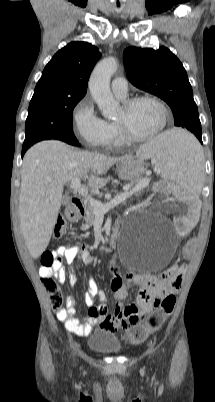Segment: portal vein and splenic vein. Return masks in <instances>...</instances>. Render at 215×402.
I'll return each mask as SVG.
<instances>
[{
    "mask_svg": "<svg viewBox=\"0 0 215 402\" xmlns=\"http://www.w3.org/2000/svg\"><path fill=\"white\" fill-rule=\"evenodd\" d=\"M149 180L145 179L144 181L137 184L136 189H142L148 184ZM71 189L78 192L81 196L89 199V204L93 208L96 216H103L106 214L110 209L114 208L116 205L125 201L129 196L135 193V189L131 191H126L118 196H116L110 202L106 204H102L98 200L88 196V190L81 186L80 178H75L71 181L70 184ZM128 190V188H127Z\"/></svg>",
    "mask_w": 215,
    "mask_h": 402,
    "instance_id": "obj_1",
    "label": "portal vein and splenic vein"
}]
</instances>
